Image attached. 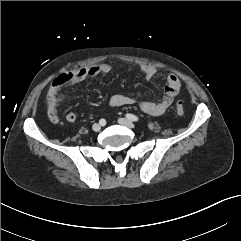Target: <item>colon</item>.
Instances as JSON below:
<instances>
[{"mask_svg":"<svg viewBox=\"0 0 241 241\" xmlns=\"http://www.w3.org/2000/svg\"><path fill=\"white\" fill-rule=\"evenodd\" d=\"M75 75L72 72H63L59 77L54 78L53 85L56 88L66 87L69 83L74 82ZM176 113L182 115L184 113V105L182 102H177L175 106Z\"/></svg>","mask_w":241,"mask_h":241,"instance_id":"colon-1","label":"colon"}]
</instances>
